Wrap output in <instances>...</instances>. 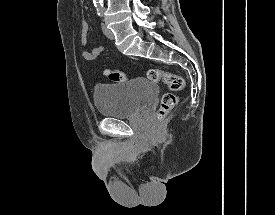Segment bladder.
Returning a JSON list of instances; mask_svg holds the SVG:
<instances>
[{
    "label": "bladder",
    "mask_w": 275,
    "mask_h": 215,
    "mask_svg": "<svg viewBox=\"0 0 275 215\" xmlns=\"http://www.w3.org/2000/svg\"><path fill=\"white\" fill-rule=\"evenodd\" d=\"M158 92L154 82L139 77L123 83L98 85L94 90V103L100 116L124 119L148 107Z\"/></svg>",
    "instance_id": "31cf9c89"
}]
</instances>
